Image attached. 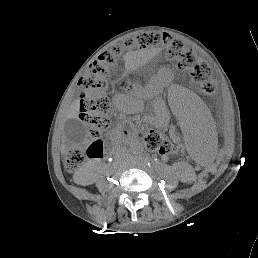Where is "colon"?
Instances as JSON below:
<instances>
[{
    "label": "colon",
    "instance_id": "obj_1",
    "mask_svg": "<svg viewBox=\"0 0 258 258\" xmlns=\"http://www.w3.org/2000/svg\"><path fill=\"white\" fill-rule=\"evenodd\" d=\"M163 46L177 63L191 71L194 81L200 84L203 93L210 95L215 91L211 69L208 64L197 59L192 50H185L181 41L168 34L157 32L143 33L134 39L125 42V47L149 49ZM123 51V46L117 45L103 52L89 66L88 71L82 76L81 87V113L84 122L90 128L91 134L97 139L100 133L109 126L107 110L109 107L106 90L110 78L113 76L118 55ZM124 86L128 83L124 82ZM146 146L154 151L167 154L172 150L171 142L158 131H148L144 135ZM96 148L99 156L103 154L104 143L98 142ZM84 160V153L78 148H71L66 156L65 167L68 171L76 170Z\"/></svg>",
    "mask_w": 258,
    "mask_h": 258
}]
</instances>
